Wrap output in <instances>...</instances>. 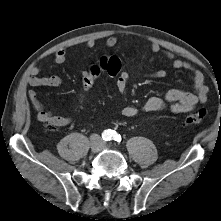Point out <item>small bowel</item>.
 Listing matches in <instances>:
<instances>
[{"mask_svg":"<svg viewBox=\"0 0 221 221\" xmlns=\"http://www.w3.org/2000/svg\"><path fill=\"white\" fill-rule=\"evenodd\" d=\"M95 42L90 40L87 42V47L92 48ZM117 44V38L115 36H110L106 39L105 45L108 48H113ZM149 51L153 53L162 52L166 58L171 61V64L176 69L188 70L193 75V90L187 91L180 88L170 89L164 97L153 96L145 101L142 105V110L144 112H154L162 110L165 107H169L173 113H187L192 111L198 104H202L207 100L208 87L205 84V79L200 70L195 68L190 63L176 57L173 53L169 51H163L160 49L159 45L152 43L149 47ZM54 63L61 65L67 60V52L65 49H59L54 55ZM32 76L28 78L27 82L33 87H59L62 84L61 77L57 75L42 77L39 76L40 69L38 67H33L31 69ZM89 74V70L83 69L80 71V76L82 80ZM166 75L165 71L158 70L147 74V77L151 78H164ZM131 74L126 71L120 72L116 79V87L119 92L123 93L126 88ZM27 96L31 102V105L36 112L37 118L41 122H46L48 119L54 121L57 126H66L70 123V118L65 116H57L51 114L46 110L42 102L38 99L35 91L29 90ZM123 116L127 118H133L138 114V109L135 106H125L122 109Z\"/></svg>","mask_w":221,"mask_h":221,"instance_id":"c3829d8e","label":"small bowel"}]
</instances>
